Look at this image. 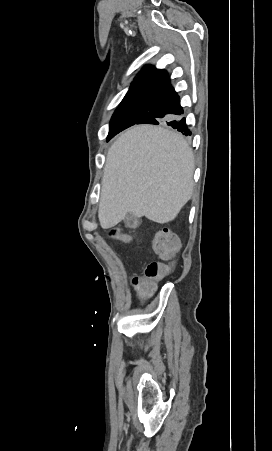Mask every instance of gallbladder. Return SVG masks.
I'll list each match as a JSON object with an SVG mask.
<instances>
[{
	"mask_svg": "<svg viewBox=\"0 0 272 451\" xmlns=\"http://www.w3.org/2000/svg\"><path fill=\"white\" fill-rule=\"evenodd\" d=\"M127 227H137L140 222L138 218H134V216H127L126 220H124Z\"/></svg>",
	"mask_w": 272,
	"mask_h": 451,
	"instance_id": "gallbladder-1",
	"label": "gallbladder"
}]
</instances>
